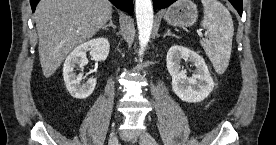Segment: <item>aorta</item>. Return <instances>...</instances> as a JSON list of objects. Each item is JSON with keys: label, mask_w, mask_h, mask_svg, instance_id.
I'll return each mask as SVG.
<instances>
[{"label": "aorta", "mask_w": 276, "mask_h": 145, "mask_svg": "<svg viewBox=\"0 0 276 145\" xmlns=\"http://www.w3.org/2000/svg\"><path fill=\"white\" fill-rule=\"evenodd\" d=\"M135 12L139 33V55L142 56L150 40L153 27V7L151 0H135Z\"/></svg>", "instance_id": "762f6f07"}]
</instances>
